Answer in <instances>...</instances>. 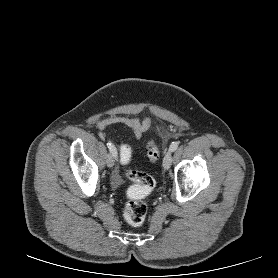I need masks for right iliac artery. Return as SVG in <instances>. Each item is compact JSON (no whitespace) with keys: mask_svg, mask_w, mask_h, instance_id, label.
<instances>
[{"mask_svg":"<svg viewBox=\"0 0 278 278\" xmlns=\"http://www.w3.org/2000/svg\"><path fill=\"white\" fill-rule=\"evenodd\" d=\"M107 146H108L110 152L116 157L117 156V151H116L115 146L111 142H108Z\"/></svg>","mask_w":278,"mask_h":278,"instance_id":"right-iliac-artery-1","label":"right iliac artery"}]
</instances>
